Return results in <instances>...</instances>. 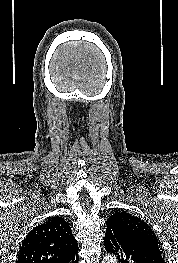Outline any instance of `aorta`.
Instances as JSON below:
<instances>
[{
    "mask_svg": "<svg viewBox=\"0 0 178 263\" xmlns=\"http://www.w3.org/2000/svg\"><path fill=\"white\" fill-rule=\"evenodd\" d=\"M102 263H118V260L113 255H107Z\"/></svg>",
    "mask_w": 178,
    "mask_h": 263,
    "instance_id": "1",
    "label": "aorta"
}]
</instances>
